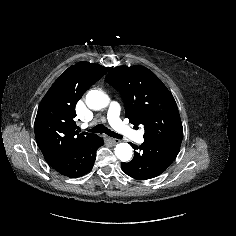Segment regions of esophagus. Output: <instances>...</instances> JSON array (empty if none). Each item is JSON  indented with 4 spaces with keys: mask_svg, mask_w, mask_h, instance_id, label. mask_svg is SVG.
Segmentation results:
<instances>
[{
    "mask_svg": "<svg viewBox=\"0 0 236 236\" xmlns=\"http://www.w3.org/2000/svg\"><path fill=\"white\" fill-rule=\"evenodd\" d=\"M109 141L112 143V144H116L119 142L118 139H114V138H109Z\"/></svg>",
    "mask_w": 236,
    "mask_h": 236,
    "instance_id": "obj_1",
    "label": "esophagus"
}]
</instances>
